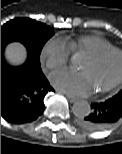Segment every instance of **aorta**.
<instances>
[{
  "label": "aorta",
  "instance_id": "obj_1",
  "mask_svg": "<svg viewBox=\"0 0 122 154\" xmlns=\"http://www.w3.org/2000/svg\"><path fill=\"white\" fill-rule=\"evenodd\" d=\"M90 110V104L85 100H79L73 104V113L77 117H85L90 113Z\"/></svg>",
  "mask_w": 122,
  "mask_h": 154
}]
</instances>
